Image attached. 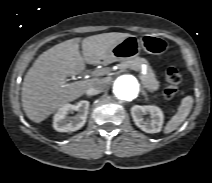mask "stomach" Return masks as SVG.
Here are the masks:
<instances>
[{
	"instance_id": "1",
	"label": "stomach",
	"mask_w": 212,
	"mask_h": 183,
	"mask_svg": "<svg viewBox=\"0 0 212 183\" xmlns=\"http://www.w3.org/2000/svg\"><path fill=\"white\" fill-rule=\"evenodd\" d=\"M169 47V42L157 34H145L140 38L130 35L108 51L106 61L129 60L136 57L141 50L152 55H162Z\"/></svg>"
}]
</instances>
